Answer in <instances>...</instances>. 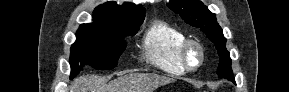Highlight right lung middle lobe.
<instances>
[{"instance_id":"1","label":"right lung middle lobe","mask_w":289,"mask_h":92,"mask_svg":"<svg viewBox=\"0 0 289 92\" xmlns=\"http://www.w3.org/2000/svg\"><path fill=\"white\" fill-rule=\"evenodd\" d=\"M123 28L119 30H102L80 27L76 33V42L70 49V65L72 79L84 65L99 70L113 69L118 64L120 55L126 48L124 37L135 35L140 28Z\"/></svg>"}]
</instances>
